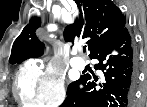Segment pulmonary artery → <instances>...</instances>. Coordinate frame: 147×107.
<instances>
[{"instance_id":"obj_1","label":"pulmonary artery","mask_w":147,"mask_h":107,"mask_svg":"<svg viewBox=\"0 0 147 107\" xmlns=\"http://www.w3.org/2000/svg\"><path fill=\"white\" fill-rule=\"evenodd\" d=\"M71 65L74 68L83 69L85 67V61L81 57L75 56L71 59Z\"/></svg>"}]
</instances>
